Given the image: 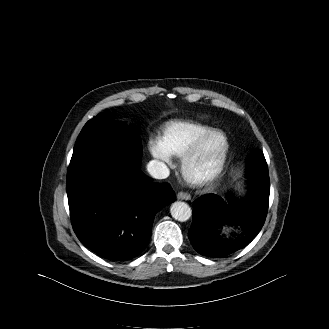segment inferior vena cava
I'll use <instances>...</instances> for the list:
<instances>
[{"mask_svg":"<svg viewBox=\"0 0 329 329\" xmlns=\"http://www.w3.org/2000/svg\"><path fill=\"white\" fill-rule=\"evenodd\" d=\"M147 171L153 178L156 179H165L170 174L166 164L158 160H151L147 164Z\"/></svg>","mask_w":329,"mask_h":329,"instance_id":"obj_1","label":"inferior vena cava"}]
</instances>
